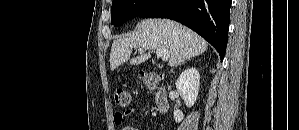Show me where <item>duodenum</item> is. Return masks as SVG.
<instances>
[{
    "mask_svg": "<svg viewBox=\"0 0 299 130\" xmlns=\"http://www.w3.org/2000/svg\"><path fill=\"white\" fill-rule=\"evenodd\" d=\"M154 103L159 113L164 114L169 109V99L164 88L158 89L154 94Z\"/></svg>",
    "mask_w": 299,
    "mask_h": 130,
    "instance_id": "obj_1",
    "label": "duodenum"
}]
</instances>
